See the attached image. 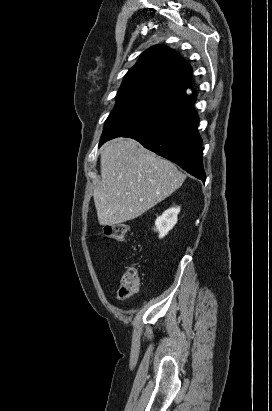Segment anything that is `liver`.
Wrapping results in <instances>:
<instances>
[{
	"mask_svg": "<svg viewBox=\"0 0 272 411\" xmlns=\"http://www.w3.org/2000/svg\"><path fill=\"white\" fill-rule=\"evenodd\" d=\"M100 164L101 182L93 198L98 222L103 226L139 217L185 180L175 164L123 137L103 145Z\"/></svg>",
	"mask_w": 272,
	"mask_h": 411,
	"instance_id": "6515ba94",
	"label": "liver"
}]
</instances>
